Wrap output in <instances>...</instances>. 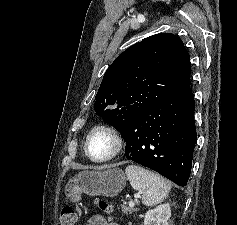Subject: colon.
<instances>
[{"label": "colon", "mask_w": 237, "mask_h": 225, "mask_svg": "<svg viewBox=\"0 0 237 225\" xmlns=\"http://www.w3.org/2000/svg\"><path fill=\"white\" fill-rule=\"evenodd\" d=\"M100 209L106 213H111L113 207L105 201H97ZM78 220V215L75 209L71 206H65L61 211L60 225H76Z\"/></svg>", "instance_id": "1"}]
</instances>
